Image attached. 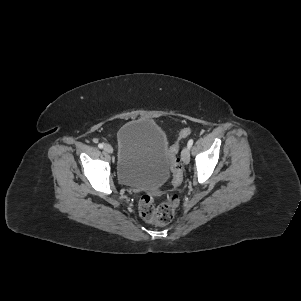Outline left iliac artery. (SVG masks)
Segmentation results:
<instances>
[{"mask_svg": "<svg viewBox=\"0 0 301 301\" xmlns=\"http://www.w3.org/2000/svg\"><path fill=\"white\" fill-rule=\"evenodd\" d=\"M192 145H193V139H190V140L188 141L187 146H188V148L190 149V148L192 147Z\"/></svg>", "mask_w": 301, "mask_h": 301, "instance_id": "1", "label": "left iliac artery"}]
</instances>
